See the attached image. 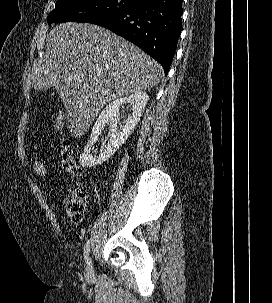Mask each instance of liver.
Instances as JSON below:
<instances>
[{
  "mask_svg": "<svg viewBox=\"0 0 272 303\" xmlns=\"http://www.w3.org/2000/svg\"><path fill=\"white\" fill-rule=\"evenodd\" d=\"M162 74L158 62L108 29L68 22L47 35L31 80L38 91L55 87L67 111L68 130L80 138L107 103L153 88Z\"/></svg>",
  "mask_w": 272,
  "mask_h": 303,
  "instance_id": "1",
  "label": "liver"
}]
</instances>
